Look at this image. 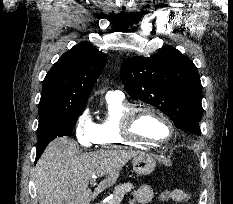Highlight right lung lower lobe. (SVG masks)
Returning a JSON list of instances; mask_svg holds the SVG:
<instances>
[{"instance_id": "obj_1", "label": "right lung lower lobe", "mask_w": 233, "mask_h": 204, "mask_svg": "<svg viewBox=\"0 0 233 204\" xmlns=\"http://www.w3.org/2000/svg\"><path fill=\"white\" fill-rule=\"evenodd\" d=\"M48 144H44V145H39L38 148H37V154H36V161L35 163L37 162V160L40 158L41 154L43 153L44 149L46 148Z\"/></svg>"}]
</instances>
